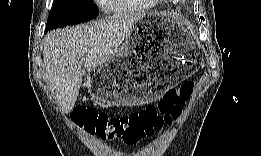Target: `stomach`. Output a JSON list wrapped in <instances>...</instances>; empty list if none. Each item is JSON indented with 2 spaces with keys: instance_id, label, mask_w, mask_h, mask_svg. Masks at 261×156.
<instances>
[{
  "instance_id": "stomach-1",
  "label": "stomach",
  "mask_w": 261,
  "mask_h": 156,
  "mask_svg": "<svg viewBox=\"0 0 261 156\" xmlns=\"http://www.w3.org/2000/svg\"><path fill=\"white\" fill-rule=\"evenodd\" d=\"M157 40L147 62L133 60L136 48ZM193 31L174 13L141 17L125 45L109 62L94 70L87 87L96 100L113 106L142 105L159 100L165 91L188 78L199 63ZM131 58V61H129ZM154 64L149 67V64Z\"/></svg>"
}]
</instances>
